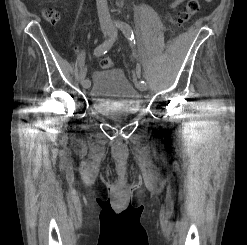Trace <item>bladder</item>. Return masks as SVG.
<instances>
[{"label": "bladder", "mask_w": 247, "mask_h": 245, "mask_svg": "<svg viewBox=\"0 0 247 245\" xmlns=\"http://www.w3.org/2000/svg\"><path fill=\"white\" fill-rule=\"evenodd\" d=\"M89 99L103 116L131 115L141 108V95L120 69L107 68L93 74Z\"/></svg>", "instance_id": "obj_1"}]
</instances>
